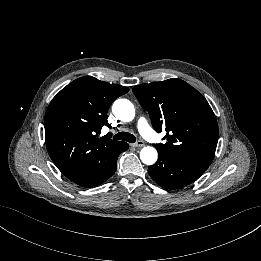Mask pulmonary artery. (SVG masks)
Listing matches in <instances>:
<instances>
[{"label":"pulmonary artery","instance_id":"obj_1","mask_svg":"<svg viewBox=\"0 0 261 261\" xmlns=\"http://www.w3.org/2000/svg\"><path fill=\"white\" fill-rule=\"evenodd\" d=\"M135 125L139 130L140 134L142 135V137L149 138L150 129H149L147 118L144 114L138 115Z\"/></svg>","mask_w":261,"mask_h":261}]
</instances>
